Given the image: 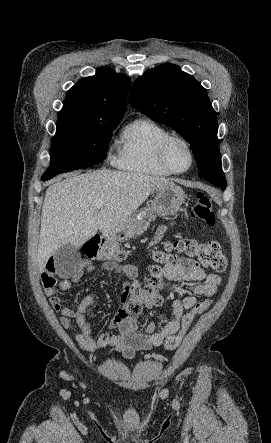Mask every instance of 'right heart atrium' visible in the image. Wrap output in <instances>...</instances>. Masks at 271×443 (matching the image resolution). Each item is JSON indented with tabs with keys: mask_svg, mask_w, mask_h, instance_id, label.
Wrapping results in <instances>:
<instances>
[{
	"mask_svg": "<svg viewBox=\"0 0 271 443\" xmlns=\"http://www.w3.org/2000/svg\"><path fill=\"white\" fill-rule=\"evenodd\" d=\"M117 149L114 133H111L106 141V152L109 159L114 158Z\"/></svg>",
	"mask_w": 271,
	"mask_h": 443,
	"instance_id": "d8ad5b80",
	"label": "right heart atrium"
}]
</instances>
